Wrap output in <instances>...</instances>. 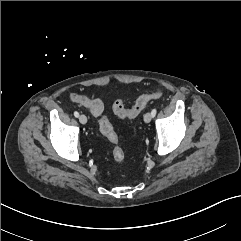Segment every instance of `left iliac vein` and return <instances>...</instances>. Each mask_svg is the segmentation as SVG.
<instances>
[{
  "label": "left iliac vein",
  "instance_id": "4c4485c4",
  "mask_svg": "<svg viewBox=\"0 0 241 241\" xmlns=\"http://www.w3.org/2000/svg\"><path fill=\"white\" fill-rule=\"evenodd\" d=\"M152 120V114L150 112H147L145 115H144V121L146 123H149L150 121Z\"/></svg>",
  "mask_w": 241,
  "mask_h": 241
}]
</instances>
